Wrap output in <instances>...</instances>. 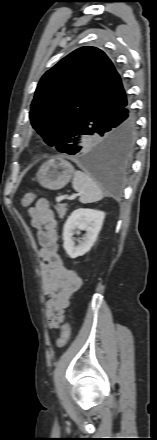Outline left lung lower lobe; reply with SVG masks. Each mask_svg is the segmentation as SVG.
Returning <instances> with one entry per match:
<instances>
[{"mask_svg": "<svg viewBox=\"0 0 157 440\" xmlns=\"http://www.w3.org/2000/svg\"><path fill=\"white\" fill-rule=\"evenodd\" d=\"M94 134L103 138L93 150L81 142L63 153L75 155L81 166L114 188L130 165V154L135 143L136 121L128 100L111 111L96 127Z\"/></svg>", "mask_w": 157, "mask_h": 440, "instance_id": "0a47b994", "label": "left lung lower lobe"}]
</instances>
